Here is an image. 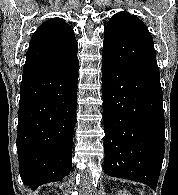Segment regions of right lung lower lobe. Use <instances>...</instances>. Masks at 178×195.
Returning a JSON list of instances; mask_svg holds the SVG:
<instances>
[{
    "label": "right lung lower lobe",
    "instance_id": "98d812e1",
    "mask_svg": "<svg viewBox=\"0 0 178 195\" xmlns=\"http://www.w3.org/2000/svg\"><path fill=\"white\" fill-rule=\"evenodd\" d=\"M78 66L22 78L17 153L22 181L32 189L70 173Z\"/></svg>",
    "mask_w": 178,
    "mask_h": 195
}]
</instances>
